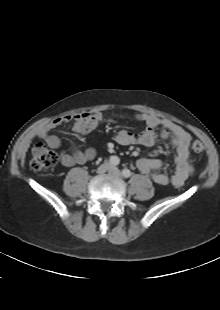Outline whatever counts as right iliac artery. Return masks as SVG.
Returning a JSON list of instances; mask_svg holds the SVG:
<instances>
[{
    "label": "right iliac artery",
    "mask_w": 220,
    "mask_h": 310,
    "mask_svg": "<svg viewBox=\"0 0 220 310\" xmlns=\"http://www.w3.org/2000/svg\"><path fill=\"white\" fill-rule=\"evenodd\" d=\"M119 158L117 156H111L109 162L111 165L116 166L119 164Z\"/></svg>",
    "instance_id": "82829eb1"
}]
</instances>
